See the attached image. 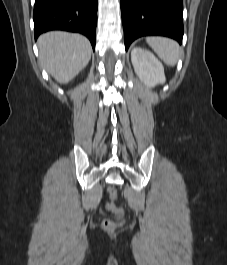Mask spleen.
<instances>
[{
	"mask_svg": "<svg viewBox=\"0 0 227 265\" xmlns=\"http://www.w3.org/2000/svg\"><path fill=\"white\" fill-rule=\"evenodd\" d=\"M146 41L164 63L169 66L176 65L180 53L176 41L166 37H148Z\"/></svg>",
	"mask_w": 227,
	"mask_h": 265,
	"instance_id": "1",
	"label": "spleen"
}]
</instances>
